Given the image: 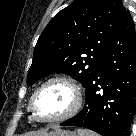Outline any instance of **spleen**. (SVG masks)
<instances>
[{
    "label": "spleen",
    "instance_id": "spleen-1",
    "mask_svg": "<svg viewBox=\"0 0 136 136\" xmlns=\"http://www.w3.org/2000/svg\"><path fill=\"white\" fill-rule=\"evenodd\" d=\"M78 133H79V136H98V135H95L94 133L84 130V129H79Z\"/></svg>",
    "mask_w": 136,
    "mask_h": 136
}]
</instances>
